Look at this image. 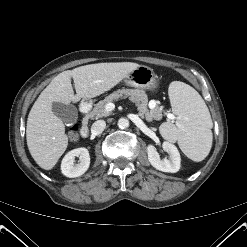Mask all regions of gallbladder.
I'll return each instance as SVG.
<instances>
[{"instance_id":"1","label":"gallbladder","mask_w":247,"mask_h":247,"mask_svg":"<svg viewBox=\"0 0 247 247\" xmlns=\"http://www.w3.org/2000/svg\"><path fill=\"white\" fill-rule=\"evenodd\" d=\"M52 111L65 124H74L77 121V108L72 104L54 102L52 104Z\"/></svg>"}]
</instances>
